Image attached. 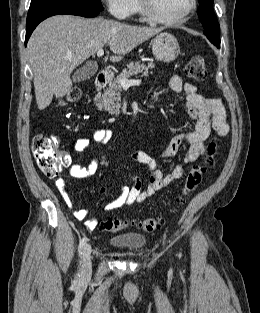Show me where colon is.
I'll use <instances>...</instances> for the list:
<instances>
[{"label": "colon", "instance_id": "5ec220e1", "mask_svg": "<svg viewBox=\"0 0 260 313\" xmlns=\"http://www.w3.org/2000/svg\"><path fill=\"white\" fill-rule=\"evenodd\" d=\"M185 74L188 78L196 81H204L207 78L205 61L200 56L192 57L185 66ZM80 88L73 87L67 94V102H77L81 99ZM59 140L56 137L38 134L33 139L32 150L34 159L41 172L49 177H58L67 165V155L59 148ZM217 145L211 142L207 148V154L202 163L194 165L188 172L183 194L189 195L201 184L203 175L216 163ZM161 224L158 217L140 221H129L120 218H110L101 222V227L108 232H117L128 225L138 227L144 232H152Z\"/></svg>", "mask_w": 260, "mask_h": 313}]
</instances>
